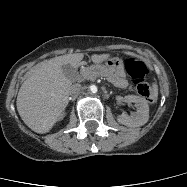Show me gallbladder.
Here are the masks:
<instances>
[{
  "instance_id": "bac80fb5",
  "label": "gallbladder",
  "mask_w": 187,
  "mask_h": 187,
  "mask_svg": "<svg viewBox=\"0 0 187 187\" xmlns=\"http://www.w3.org/2000/svg\"><path fill=\"white\" fill-rule=\"evenodd\" d=\"M62 69H63V73L67 78H71L75 73L74 68L70 65H63Z\"/></svg>"
}]
</instances>
